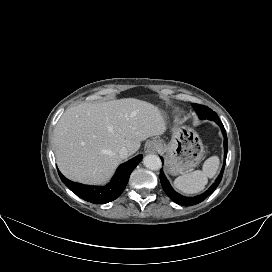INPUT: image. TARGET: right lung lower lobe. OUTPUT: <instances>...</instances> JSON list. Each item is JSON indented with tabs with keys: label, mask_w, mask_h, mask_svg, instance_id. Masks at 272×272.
Segmentation results:
<instances>
[{
	"label": "right lung lower lobe",
	"mask_w": 272,
	"mask_h": 272,
	"mask_svg": "<svg viewBox=\"0 0 272 272\" xmlns=\"http://www.w3.org/2000/svg\"><path fill=\"white\" fill-rule=\"evenodd\" d=\"M141 159L142 155H138L121 164L111 182L106 187L75 183L65 178L59 171L58 173L65 185L81 199L94 204H105L120 196L127 185L131 172L139 164Z\"/></svg>",
	"instance_id": "right-lung-lower-lobe-1"
}]
</instances>
